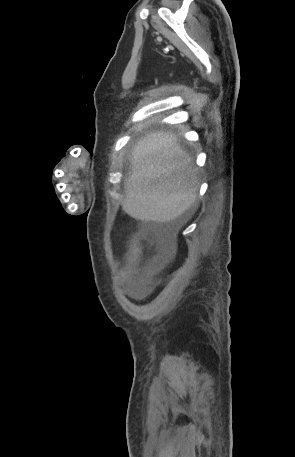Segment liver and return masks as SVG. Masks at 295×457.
Masks as SVG:
<instances>
[{
  "mask_svg": "<svg viewBox=\"0 0 295 457\" xmlns=\"http://www.w3.org/2000/svg\"><path fill=\"white\" fill-rule=\"evenodd\" d=\"M198 169L171 132H152L131 152L123 210L141 221L170 222L197 199Z\"/></svg>",
  "mask_w": 295,
  "mask_h": 457,
  "instance_id": "1",
  "label": "liver"
}]
</instances>
